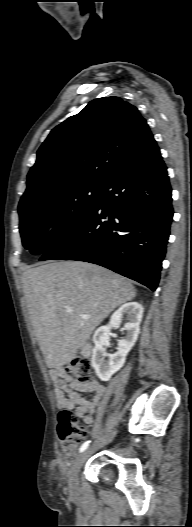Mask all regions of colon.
<instances>
[{"instance_id": "colon-1", "label": "colon", "mask_w": 192, "mask_h": 527, "mask_svg": "<svg viewBox=\"0 0 192 527\" xmlns=\"http://www.w3.org/2000/svg\"><path fill=\"white\" fill-rule=\"evenodd\" d=\"M90 369V361L86 358H76L66 368L67 373L81 383L90 381ZM58 435L67 452H73L86 436V429L70 408L64 407L59 412Z\"/></svg>"}]
</instances>
